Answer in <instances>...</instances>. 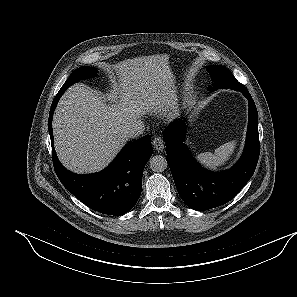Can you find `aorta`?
Segmentation results:
<instances>
[{
  "label": "aorta",
  "instance_id": "762f6f07",
  "mask_svg": "<svg viewBox=\"0 0 297 297\" xmlns=\"http://www.w3.org/2000/svg\"><path fill=\"white\" fill-rule=\"evenodd\" d=\"M149 165L154 172H163L168 167L166 158L160 155L152 157L149 161Z\"/></svg>",
  "mask_w": 297,
  "mask_h": 297
}]
</instances>
